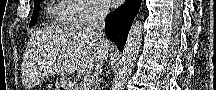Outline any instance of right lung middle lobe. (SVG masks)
Instances as JSON below:
<instances>
[{
  "label": "right lung middle lobe",
  "mask_w": 216,
  "mask_h": 90,
  "mask_svg": "<svg viewBox=\"0 0 216 90\" xmlns=\"http://www.w3.org/2000/svg\"><path fill=\"white\" fill-rule=\"evenodd\" d=\"M39 3H40V0H34V7L35 8H34V11H33V15H32L29 27H32L37 21Z\"/></svg>",
  "instance_id": "right-lung-middle-lobe-1"
}]
</instances>
